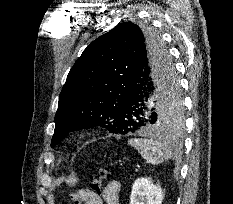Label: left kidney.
I'll use <instances>...</instances> for the list:
<instances>
[{"label": "left kidney", "instance_id": "left-kidney-1", "mask_svg": "<svg viewBox=\"0 0 233 204\" xmlns=\"http://www.w3.org/2000/svg\"><path fill=\"white\" fill-rule=\"evenodd\" d=\"M163 191L149 178H138L133 186L129 204H162Z\"/></svg>", "mask_w": 233, "mask_h": 204}]
</instances>
